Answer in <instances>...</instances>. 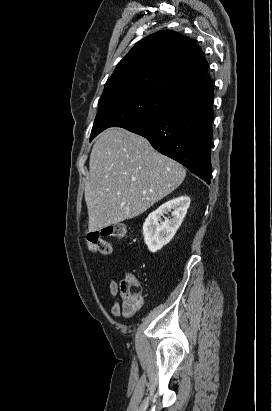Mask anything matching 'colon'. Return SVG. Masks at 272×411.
Returning a JSON list of instances; mask_svg holds the SVG:
<instances>
[{
  "mask_svg": "<svg viewBox=\"0 0 272 411\" xmlns=\"http://www.w3.org/2000/svg\"><path fill=\"white\" fill-rule=\"evenodd\" d=\"M127 233V226L123 222H116L104 226L101 230L91 232L87 236V244L91 251L100 254H110L112 246L107 238H121ZM119 296L122 301V310L125 316L133 315L141 300V286L133 274H127L119 285Z\"/></svg>",
  "mask_w": 272,
  "mask_h": 411,
  "instance_id": "5ec220e1",
  "label": "colon"
}]
</instances>
